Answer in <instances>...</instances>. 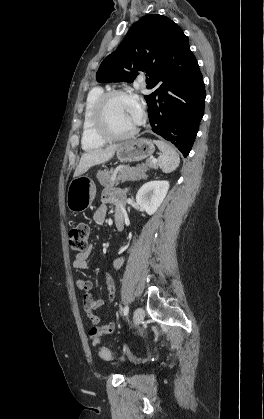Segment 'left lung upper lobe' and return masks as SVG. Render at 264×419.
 <instances>
[{"label":"left lung upper lobe","mask_w":264,"mask_h":419,"mask_svg":"<svg viewBox=\"0 0 264 419\" xmlns=\"http://www.w3.org/2000/svg\"><path fill=\"white\" fill-rule=\"evenodd\" d=\"M181 34V28L165 16L142 17L132 25L118 48L103 60L97 81L131 83L140 72H146L151 77L147 83L152 84L165 69L169 43Z\"/></svg>","instance_id":"5c2ea615"}]
</instances>
